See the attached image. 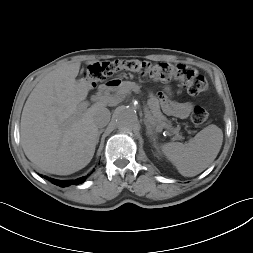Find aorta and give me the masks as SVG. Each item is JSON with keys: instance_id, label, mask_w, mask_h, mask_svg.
I'll use <instances>...</instances> for the list:
<instances>
[{"instance_id": "762f6f07", "label": "aorta", "mask_w": 253, "mask_h": 253, "mask_svg": "<svg viewBox=\"0 0 253 253\" xmlns=\"http://www.w3.org/2000/svg\"><path fill=\"white\" fill-rule=\"evenodd\" d=\"M118 127L130 129L137 122L136 111L131 107H121L115 112Z\"/></svg>"}]
</instances>
